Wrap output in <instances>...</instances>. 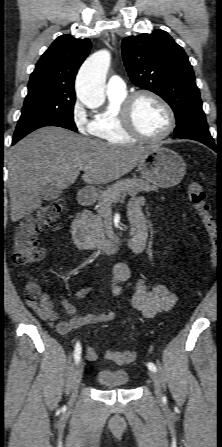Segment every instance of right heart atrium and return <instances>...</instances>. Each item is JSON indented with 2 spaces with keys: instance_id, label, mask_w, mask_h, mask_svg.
I'll use <instances>...</instances> for the list:
<instances>
[{
  "instance_id": "right-heart-atrium-1",
  "label": "right heart atrium",
  "mask_w": 222,
  "mask_h": 447,
  "mask_svg": "<svg viewBox=\"0 0 222 447\" xmlns=\"http://www.w3.org/2000/svg\"><path fill=\"white\" fill-rule=\"evenodd\" d=\"M72 120L80 133L88 134L91 132L92 121L88 119L85 110L79 103H76L72 109Z\"/></svg>"
}]
</instances>
